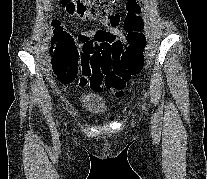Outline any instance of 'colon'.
<instances>
[{"label": "colon", "mask_w": 207, "mask_h": 179, "mask_svg": "<svg viewBox=\"0 0 207 179\" xmlns=\"http://www.w3.org/2000/svg\"><path fill=\"white\" fill-rule=\"evenodd\" d=\"M72 16L92 19L108 17L117 0H59ZM141 7L129 0L124 27L125 45L108 31L99 30L94 36L76 41L60 24L54 25L52 67L56 77L72 82L90 78L93 85L106 87L121 96L128 80L144 66L143 50L147 43ZM81 47V51L79 50Z\"/></svg>", "instance_id": "5ec220e1"}]
</instances>
